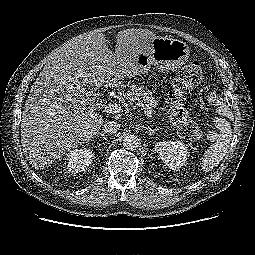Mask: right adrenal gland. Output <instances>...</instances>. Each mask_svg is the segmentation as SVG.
I'll use <instances>...</instances> for the list:
<instances>
[{
  "instance_id": "2a0ac1e0",
  "label": "right adrenal gland",
  "mask_w": 255,
  "mask_h": 255,
  "mask_svg": "<svg viewBox=\"0 0 255 255\" xmlns=\"http://www.w3.org/2000/svg\"><path fill=\"white\" fill-rule=\"evenodd\" d=\"M100 135L103 137L104 140L108 139L103 132L97 133V136H100Z\"/></svg>"
}]
</instances>
